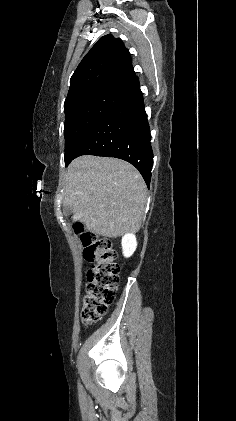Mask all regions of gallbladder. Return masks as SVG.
Wrapping results in <instances>:
<instances>
[{"instance_id": "gallbladder-1", "label": "gallbladder", "mask_w": 236, "mask_h": 421, "mask_svg": "<svg viewBox=\"0 0 236 421\" xmlns=\"http://www.w3.org/2000/svg\"><path fill=\"white\" fill-rule=\"evenodd\" d=\"M63 208H64V213H66V215H70L71 211L68 204H64Z\"/></svg>"}]
</instances>
